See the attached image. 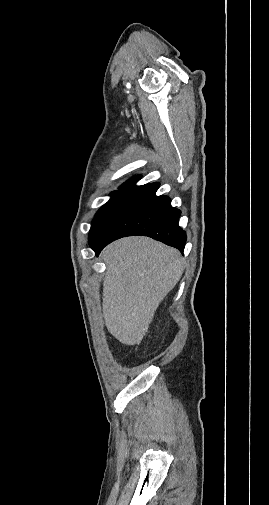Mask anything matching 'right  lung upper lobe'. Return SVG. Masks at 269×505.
<instances>
[{
    "label": "right lung upper lobe",
    "mask_w": 269,
    "mask_h": 505,
    "mask_svg": "<svg viewBox=\"0 0 269 505\" xmlns=\"http://www.w3.org/2000/svg\"><path fill=\"white\" fill-rule=\"evenodd\" d=\"M139 180V177H135L131 179L130 181L124 183L123 185L120 186V188H125V189H133V190H138L140 191L144 187H146L148 184L142 185V186H136V182Z\"/></svg>",
    "instance_id": "1"
}]
</instances>
